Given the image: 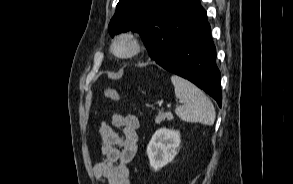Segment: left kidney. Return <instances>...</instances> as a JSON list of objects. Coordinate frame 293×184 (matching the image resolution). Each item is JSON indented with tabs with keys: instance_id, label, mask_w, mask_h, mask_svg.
<instances>
[{
	"instance_id": "obj_1",
	"label": "left kidney",
	"mask_w": 293,
	"mask_h": 184,
	"mask_svg": "<svg viewBox=\"0 0 293 184\" xmlns=\"http://www.w3.org/2000/svg\"><path fill=\"white\" fill-rule=\"evenodd\" d=\"M180 142L179 131L166 128L157 130L147 146L150 167L157 171L172 162L177 155Z\"/></svg>"
}]
</instances>
